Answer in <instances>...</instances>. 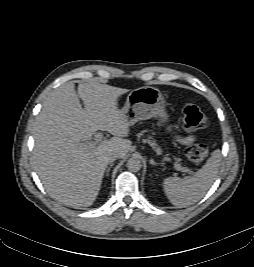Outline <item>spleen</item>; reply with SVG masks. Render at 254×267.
I'll use <instances>...</instances> for the list:
<instances>
[{"label":"spleen","mask_w":254,"mask_h":267,"mask_svg":"<svg viewBox=\"0 0 254 267\" xmlns=\"http://www.w3.org/2000/svg\"><path fill=\"white\" fill-rule=\"evenodd\" d=\"M220 162L221 152L217 149L193 176L165 178L163 189L170 202L177 208H185L202 199L217 177Z\"/></svg>","instance_id":"spleen-1"}]
</instances>
